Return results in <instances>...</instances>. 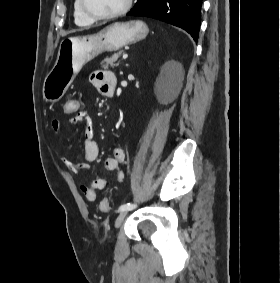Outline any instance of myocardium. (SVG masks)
Instances as JSON below:
<instances>
[{
	"label": "myocardium",
	"instance_id": "f54148a6",
	"mask_svg": "<svg viewBox=\"0 0 280 283\" xmlns=\"http://www.w3.org/2000/svg\"><path fill=\"white\" fill-rule=\"evenodd\" d=\"M134 0H126L124 6L116 12L99 15L92 12L86 5V0H80V5L84 14L93 21L112 20L126 14L132 7Z\"/></svg>",
	"mask_w": 280,
	"mask_h": 283
}]
</instances>
